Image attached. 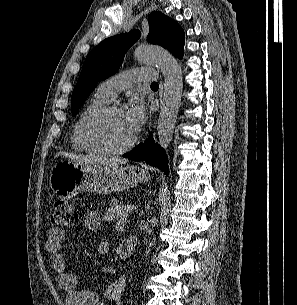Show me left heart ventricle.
Instances as JSON below:
<instances>
[{"label":"left heart ventricle","instance_id":"b2bd125f","mask_svg":"<svg viewBox=\"0 0 297 305\" xmlns=\"http://www.w3.org/2000/svg\"><path fill=\"white\" fill-rule=\"evenodd\" d=\"M93 134L107 147L118 148L127 144L135 132L123 111L114 112L94 124Z\"/></svg>","mask_w":297,"mask_h":305}]
</instances>
